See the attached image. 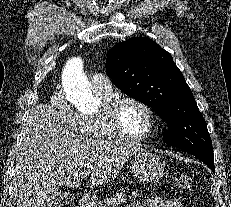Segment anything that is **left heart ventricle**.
I'll return each mask as SVG.
<instances>
[{
    "instance_id": "b2bd125f",
    "label": "left heart ventricle",
    "mask_w": 231,
    "mask_h": 207,
    "mask_svg": "<svg viewBox=\"0 0 231 207\" xmlns=\"http://www.w3.org/2000/svg\"><path fill=\"white\" fill-rule=\"evenodd\" d=\"M118 122L124 132L133 137L145 134L149 128V119L145 110L130 102L120 107Z\"/></svg>"
}]
</instances>
